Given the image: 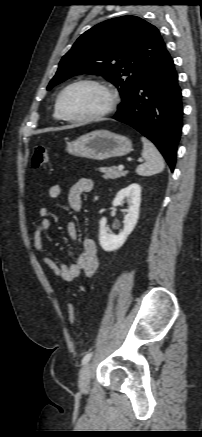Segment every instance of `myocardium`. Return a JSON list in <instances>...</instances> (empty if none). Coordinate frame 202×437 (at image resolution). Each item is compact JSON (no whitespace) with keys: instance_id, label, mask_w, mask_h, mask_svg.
Wrapping results in <instances>:
<instances>
[{"instance_id":"myocardium-1","label":"myocardium","mask_w":202,"mask_h":437,"mask_svg":"<svg viewBox=\"0 0 202 437\" xmlns=\"http://www.w3.org/2000/svg\"><path fill=\"white\" fill-rule=\"evenodd\" d=\"M83 84L93 85L101 89L107 95L108 98L107 104L101 111L91 115L80 116V117L68 116L62 108L63 97L71 88ZM118 102H119V95L113 87L95 79L85 78L70 83L59 93L56 100V109L60 118L65 121L72 122V123H90V122L102 120L108 115H110L117 107Z\"/></svg>"}]
</instances>
